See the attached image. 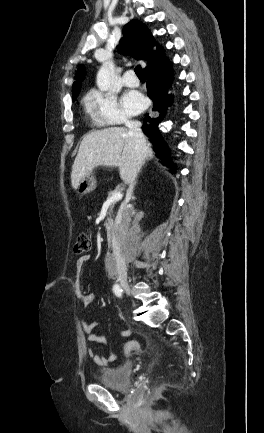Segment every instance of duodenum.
<instances>
[{"mask_svg": "<svg viewBox=\"0 0 264 433\" xmlns=\"http://www.w3.org/2000/svg\"><path fill=\"white\" fill-rule=\"evenodd\" d=\"M106 233H107V242L109 244V246L111 247V249H113V259L112 261L109 263V268L111 270H116V266H117V261L115 260L116 257V252H117V247L114 243V225L110 222H108L106 224Z\"/></svg>", "mask_w": 264, "mask_h": 433, "instance_id": "410a0bca", "label": "duodenum"}]
</instances>
